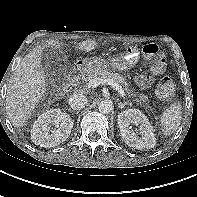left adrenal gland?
Listing matches in <instances>:
<instances>
[{
	"mask_svg": "<svg viewBox=\"0 0 197 197\" xmlns=\"http://www.w3.org/2000/svg\"><path fill=\"white\" fill-rule=\"evenodd\" d=\"M126 105H130L131 106V103L130 102H119L118 103V107L120 109H123Z\"/></svg>",
	"mask_w": 197,
	"mask_h": 197,
	"instance_id": "1",
	"label": "left adrenal gland"
}]
</instances>
